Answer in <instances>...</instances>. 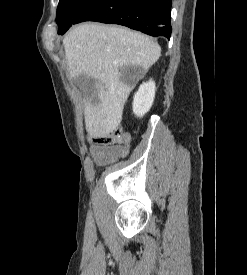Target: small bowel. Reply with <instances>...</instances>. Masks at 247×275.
<instances>
[{"mask_svg":"<svg viewBox=\"0 0 247 275\" xmlns=\"http://www.w3.org/2000/svg\"><path fill=\"white\" fill-rule=\"evenodd\" d=\"M128 153L126 145H93L91 155L95 163L102 167L109 165L123 157Z\"/></svg>","mask_w":247,"mask_h":275,"instance_id":"1","label":"small bowel"}]
</instances>
